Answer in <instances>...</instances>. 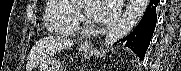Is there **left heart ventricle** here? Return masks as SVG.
<instances>
[{
    "instance_id": "1",
    "label": "left heart ventricle",
    "mask_w": 181,
    "mask_h": 71,
    "mask_svg": "<svg viewBox=\"0 0 181 71\" xmlns=\"http://www.w3.org/2000/svg\"><path fill=\"white\" fill-rule=\"evenodd\" d=\"M94 5H95V2H90L89 4H88V8H90L92 11L94 10Z\"/></svg>"
}]
</instances>
